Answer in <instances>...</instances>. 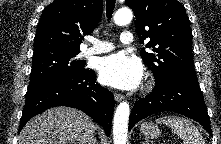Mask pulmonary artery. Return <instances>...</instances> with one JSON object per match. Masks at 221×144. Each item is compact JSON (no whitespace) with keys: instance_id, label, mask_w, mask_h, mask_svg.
Masks as SVG:
<instances>
[{"instance_id":"obj_1","label":"pulmonary artery","mask_w":221,"mask_h":144,"mask_svg":"<svg viewBox=\"0 0 221 144\" xmlns=\"http://www.w3.org/2000/svg\"><path fill=\"white\" fill-rule=\"evenodd\" d=\"M120 40L123 44H130L133 42V35L130 31H124L120 36ZM90 41L92 46L83 52L85 56L106 53L114 49V45L109 41H102L94 38Z\"/></svg>"}]
</instances>
